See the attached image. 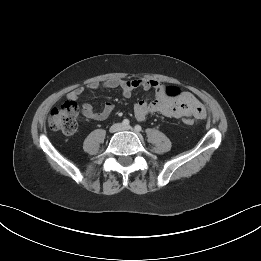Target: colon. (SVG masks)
<instances>
[{"label":"colon","instance_id":"obj_1","mask_svg":"<svg viewBox=\"0 0 261 261\" xmlns=\"http://www.w3.org/2000/svg\"><path fill=\"white\" fill-rule=\"evenodd\" d=\"M167 94L171 97H177L180 90L176 87H168ZM78 107L73 101H67L62 105L52 109L49 115V126L56 131H61L64 134L72 135L78 129ZM183 122L187 125L193 124V119L184 118Z\"/></svg>","mask_w":261,"mask_h":261}]
</instances>
